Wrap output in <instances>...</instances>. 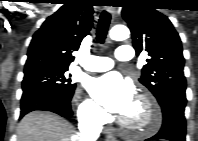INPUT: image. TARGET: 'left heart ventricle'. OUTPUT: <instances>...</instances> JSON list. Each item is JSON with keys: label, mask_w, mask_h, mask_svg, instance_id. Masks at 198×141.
Listing matches in <instances>:
<instances>
[{"label": "left heart ventricle", "mask_w": 198, "mask_h": 141, "mask_svg": "<svg viewBox=\"0 0 198 141\" xmlns=\"http://www.w3.org/2000/svg\"><path fill=\"white\" fill-rule=\"evenodd\" d=\"M126 120L134 125H144L146 123L145 108L135 101L130 111L124 116Z\"/></svg>", "instance_id": "left-heart-ventricle-1"}]
</instances>
